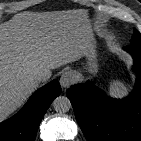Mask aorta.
I'll return each instance as SVG.
<instances>
[{"mask_svg": "<svg viewBox=\"0 0 141 141\" xmlns=\"http://www.w3.org/2000/svg\"><path fill=\"white\" fill-rule=\"evenodd\" d=\"M53 107L56 112L65 113L71 108L70 100L65 96H59L53 101Z\"/></svg>", "mask_w": 141, "mask_h": 141, "instance_id": "762f6f07", "label": "aorta"}]
</instances>
